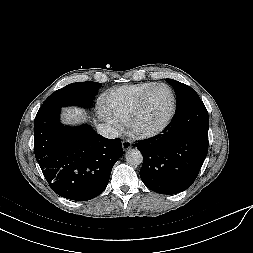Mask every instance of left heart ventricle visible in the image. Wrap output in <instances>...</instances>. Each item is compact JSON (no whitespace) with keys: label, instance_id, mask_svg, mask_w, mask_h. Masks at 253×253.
<instances>
[{"label":"left heart ventricle","instance_id":"b2bd125f","mask_svg":"<svg viewBox=\"0 0 253 253\" xmlns=\"http://www.w3.org/2000/svg\"><path fill=\"white\" fill-rule=\"evenodd\" d=\"M171 93L168 88L159 86L148 96L142 114L138 120L141 128H154L161 125L171 109Z\"/></svg>","mask_w":253,"mask_h":253}]
</instances>
